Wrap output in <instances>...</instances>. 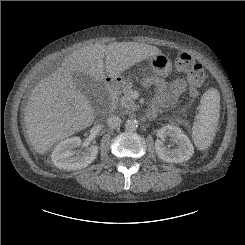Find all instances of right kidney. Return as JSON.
<instances>
[{"instance_id": "obj_1", "label": "right kidney", "mask_w": 245, "mask_h": 245, "mask_svg": "<svg viewBox=\"0 0 245 245\" xmlns=\"http://www.w3.org/2000/svg\"><path fill=\"white\" fill-rule=\"evenodd\" d=\"M80 145L81 139L76 136L57 144L51 155L54 165L59 169L78 170L91 164L97 157L98 146L93 145L82 152L74 151Z\"/></svg>"}]
</instances>
